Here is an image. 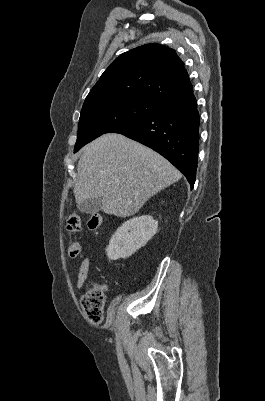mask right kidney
Returning a JSON list of instances; mask_svg holds the SVG:
<instances>
[{
    "mask_svg": "<svg viewBox=\"0 0 265 401\" xmlns=\"http://www.w3.org/2000/svg\"><path fill=\"white\" fill-rule=\"evenodd\" d=\"M157 229L158 221H154L150 215L129 219L112 235L106 249L108 259L117 261V259L131 257L147 241H150L151 237H154Z\"/></svg>",
    "mask_w": 265,
    "mask_h": 401,
    "instance_id": "right-kidney-1",
    "label": "right kidney"
}]
</instances>
